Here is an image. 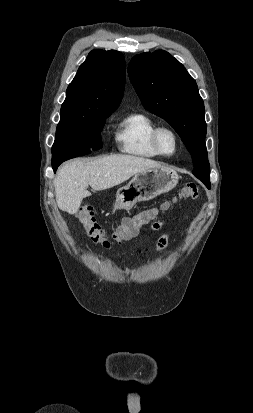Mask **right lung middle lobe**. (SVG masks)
Listing matches in <instances>:
<instances>
[{
	"label": "right lung middle lobe",
	"instance_id": "obj_1",
	"mask_svg": "<svg viewBox=\"0 0 253 413\" xmlns=\"http://www.w3.org/2000/svg\"><path fill=\"white\" fill-rule=\"evenodd\" d=\"M112 112L92 117L61 119L52 146V165L102 148L100 132Z\"/></svg>",
	"mask_w": 253,
	"mask_h": 413
}]
</instances>
